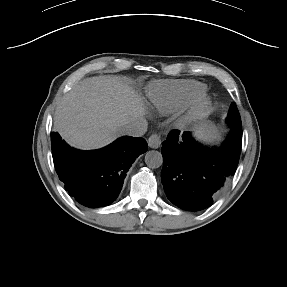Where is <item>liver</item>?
<instances>
[{"label":"liver","instance_id":"6515ba94","mask_svg":"<svg viewBox=\"0 0 287 287\" xmlns=\"http://www.w3.org/2000/svg\"><path fill=\"white\" fill-rule=\"evenodd\" d=\"M144 114V104L127 82L117 76H94L61 100L54 128L71 146L94 150L123 135L122 127Z\"/></svg>","mask_w":287,"mask_h":287}]
</instances>
